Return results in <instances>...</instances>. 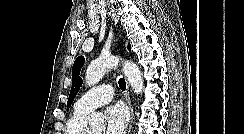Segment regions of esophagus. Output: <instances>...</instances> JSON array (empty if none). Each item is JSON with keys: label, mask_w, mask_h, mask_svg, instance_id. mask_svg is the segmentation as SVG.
<instances>
[{"label": "esophagus", "mask_w": 244, "mask_h": 134, "mask_svg": "<svg viewBox=\"0 0 244 134\" xmlns=\"http://www.w3.org/2000/svg\"><path fill=\"white\" fill-rule=\"evenodd\" d=\"M125 99H126L129 111H130V121H129L127 132H126V134H129L131 127H132V121H133V107H132V103H131L130 90H129V85H128L127 80H126Z\"/></svg>", "instance_id": "esophagus-1"}]
</instances>
